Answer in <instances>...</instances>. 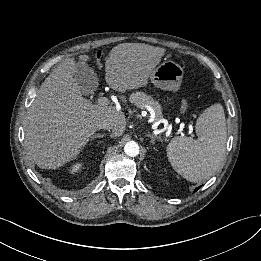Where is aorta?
Returning <instances> with one entry per match:
<instances>
[{
    "instance_id": "aorta-1",
    "label": "aorta",
    "mask_w": 261,
    "mask_h": 261,
    "mask_svg": "<svg viewBox=\"0 0 261 261\" xmlns=\"http://www.w3.org/2000/svg\"><path fill=\"white\" fill-rule=\"evenodd\" d=\"M124 152L130 157H135L139 154V145L135 141H129L124 146Z\"/></svg>"
}]
</instances>
